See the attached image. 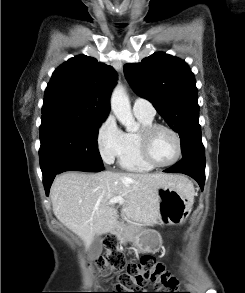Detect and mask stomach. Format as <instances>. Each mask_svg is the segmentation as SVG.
Here are the masks:
<instances>
[{"label":"stomach","mask_w":245,"mask_h":293,"mask_svg":"<svg viewBox=\"0 0 245 293\" xmlns=\"http://www.w3.org/2000/svg\"><path fill=\"white\" fill-rule=\"evenodd\" d=\"M158 213L161 224H181L188 217L193 199L187 197L176 187L163 186L158 189ZM116 234V231H113ZM133 246L143 253H154L162 244L160 234L152 229H143L130 238Z\"/></svg>","instance_id":"1"}]
</instances>
